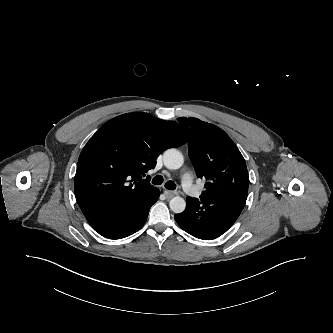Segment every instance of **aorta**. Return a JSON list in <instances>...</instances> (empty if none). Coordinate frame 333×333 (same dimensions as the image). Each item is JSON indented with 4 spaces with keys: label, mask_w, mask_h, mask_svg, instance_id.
<instances>
[{
    "label": "aorta",
    "mask_w": 333,
    "mask_h": 333,
    "mask_svg": "<svg viewBox=\"0 0 333 333\" xmlns=\"http://www.w3.org/2000/svg\"><path fill=\"white\" fill-rule=\"evenodd\" d=\"M163 161L168 169H179L184 163L182 153L176 149H168L164 152ZM170 209L174 213H182L186 208V201L179 196L173 197L169 202Z\"/></svg>",
    "instance_id": "1"
}]
</instances>
